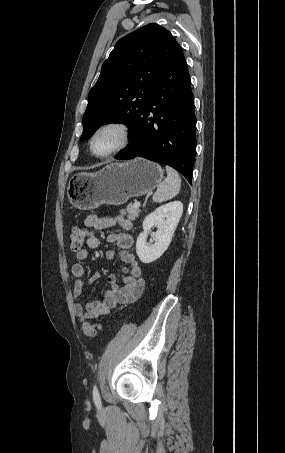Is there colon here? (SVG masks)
Here are the masks:
<instances>
[{"mask_svg": "<svg viewBox=\"0 0 285 453\" xmlns=\"http://www.w3.org/2000/svg\"><path fill=\"white\" fill-rule=\"evenodd\" d=\"M70 248L74 254L81 252L84 248L83 245L86 240V232L80 227L72 228L70 235ZM100 329V324H83V334L86 338L92 339L96 336L97 331Z\"/></svg>", "mask_w": 285, "mask_h": 453, "instance_id": "5ec220e1", "label": "colon"}]
</instances>
